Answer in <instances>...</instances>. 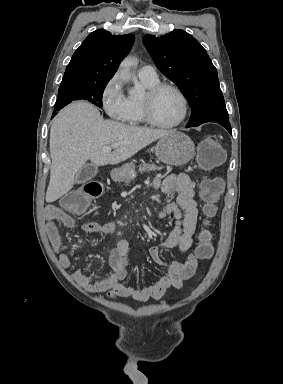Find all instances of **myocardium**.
Segmentation results:
<instances>
[{
    "label": "myocardium",
    "mask_w": 283,
    "mask_h": 384,
    "mask_svg": "<svg viewBox=\"0 0 283 384\" xmlns=\"http://www.w3.org/2000/svg\"><path fill=\"white\" fill-rule=\"evenodd\" d=\"M163 90L173 91L180 99L182 103V113L179 119L171 124L159 123L152 114V102L153 99ZM141 112L144 121L157 129L170 130L180 126L186 119L188 114V102L184 93L175 85L170 83H157L147 89L144 96L140 99Z\"/></svg>",
    "instance_id": "myocardium-1"
}]
</instances>
